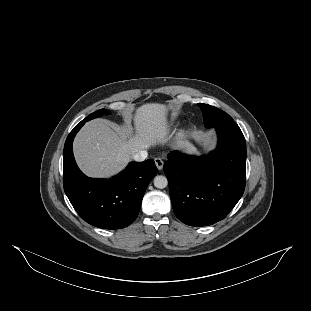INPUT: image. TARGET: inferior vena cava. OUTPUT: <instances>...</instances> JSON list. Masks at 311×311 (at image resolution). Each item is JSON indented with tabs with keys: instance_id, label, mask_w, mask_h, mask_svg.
Wrapping results in <instances>:
<instances>
[{
	"instance_id": "1",
	"label": "inferior vena cava",
	"mask_w": 311,
	"mask_h": 311,
	"mask_svg": "<svg viewBox=\"0 0 311 311\" xmlns=\"http://www.w3.org/2000/svg\"><path fill=\"white\" fill-rule=\"evenodd\" d=\"M148 158L147 151L141 150L139 152L134 153L133 159L137 162L145 161Z\"/></svg>"
}]
</instances>
